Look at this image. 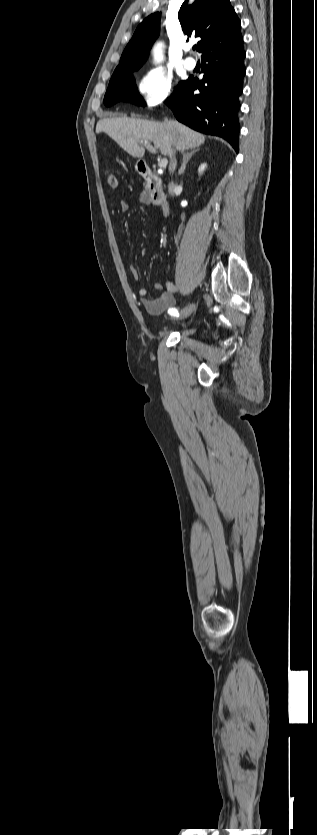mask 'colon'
Listing matches in <instances>:
<instances>
[{
  "mask_svg": "<svg viewBox=\"0 0 317 835\" xmlns=\"http://www.w3.org/2000/svg\"><path fill=\"white\" fill-rule=\"evenodd\" d=\"M107 183L113 189L118 186V178L115 173H109L107 175Z\"/></svg>",
  "mask_w": 317,
  "mask_h": 835,
  "instance_id": "1",
  "label": "colon"
}]
</instances>
